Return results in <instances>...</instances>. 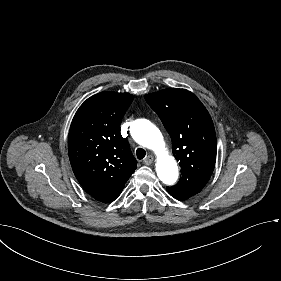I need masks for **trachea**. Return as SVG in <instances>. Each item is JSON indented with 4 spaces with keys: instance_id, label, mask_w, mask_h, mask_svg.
<instances>
[{
    "instance_id": "3493384b",
    "label": "trachea",
    "mask_w": 281,
    "mask_h": 281,
    "mask_svg": "<svg viewBox=\"0 0 281 281\" xmlns=\"http://www.w3.org/2000/svg\"><path fill=\"white\" fill-rule=\"evenodd\" d=\"M136 156L139 160L143 159L146 156V151L142 148L136 150Z\"/></svg>"
}]
</instances>
